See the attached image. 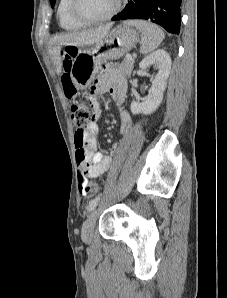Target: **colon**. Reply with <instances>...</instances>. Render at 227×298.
<instances>
[{
	"label": "colon",
	"mask_w": 227,
	"mask_h": 298,
	"mask_svg": "<svg viewBox=\"0 0 227 298\" xmlns=\"http://www.w3.org/2000/svg\"><path fill=\"white\" fill-rule=\"evenodd\" d=\"M77 49L74 46H66L63 50V67L65 73L62 76V84L66 96L73 98L76 96L77 90L72 82V79L68 73L70 70L72 59L76 56ZM87 98V97H84ZM76 100L71 106L72 120L77 128L75 133V147L76 155L80 160L85 159V138L84 131L92 123L90 122V117H96V115H89L87 112V105L93 103H84L83 99ZM77 178H79V189L81 193L84 194H95L98 192L99 188L96 184L87 181L86 173H77Z\"/></svg>",
	"instance_id": "obj_1"
}]
</instances>
